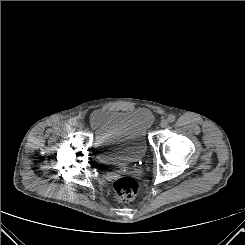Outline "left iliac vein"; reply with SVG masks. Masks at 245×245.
<instances>
[{
	"mask_svg": "<svg viewBox=\"0 0 245 245\" xmlns=\"http://www.w3.org/2000/svg\"><path fill=\"white\" fill-rule=\"evenodd\" d=\"M161 128H166L168 126V121L166 119H162L160 122Z\"/></svg>",
	"mask_w": 245,
	"mask_h": 245,
	"instance_id": "1",
	"label": "left iliac vein"
}]
</instances>
